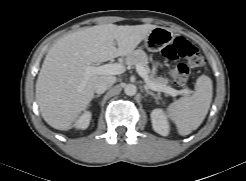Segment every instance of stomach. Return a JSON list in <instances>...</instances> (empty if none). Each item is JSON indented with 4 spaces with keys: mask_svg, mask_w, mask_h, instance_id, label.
Listing matches in <instances>:
<instances>
[{
    "mask_svg": "<svg viewBox=\"0 0 246 181\" xmlns=\"http://www.w3.org/2000/svg\"><path fill=\"white\" fill-rule=\"evenodd\" d=\"M173 33L165 27H156L145 38V47L149 51H159L173 40Z\"/></svg>",
    "mask_w": 246,
    "mask_h": 181,
    "instance_id": "stomach-1",
    "label": "stomach"
}]
</instances>
